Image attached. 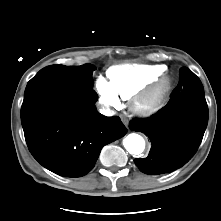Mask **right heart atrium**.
Instances as JSON below:
<instances>
[{
  "instance_id": "1",
  "label": "right heart atrium",
  "mask_w": 221,
  "mask_h": 221,
  "mask_svg": "<svg viewBox=\"0 0 221 221\" xmlns=\"http://www.w3.org/2000/svg\"><path fill=\"white\" fill-rule=\"evenodd\" d=\"M96 91L99 95L100 102L107 109H116L120 106V101L117 94L114 92L110 84L103 78L96 81Z\"/></svg>"
}]
</instances>
